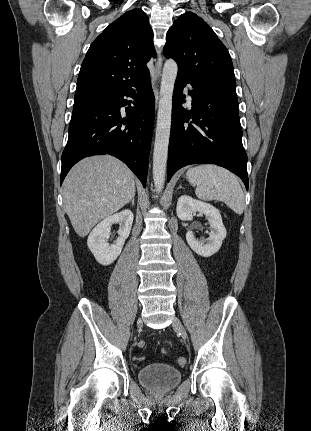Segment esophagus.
Here are the masks:
<instances>
[{
  "mask_svg": "<svg viewBox=\"0 0 311 431\" xmlns=\"http://www.w3.org/2000/svg\"><path fill=\"white\" fill-rule=\"evenodd\" d=\"M161 67H162V58L161 56L158 58V61L155 65V73H154V96H155V102H156V108H157V104H158V100H159V90H158V86H157V81L160 78L161 75Z\"/></svg>",
  "mask_w": 311,
  "mask_h": 431,
  "instance_id": "obj_1",
  "label": "esophagus"
}]
</instances>
